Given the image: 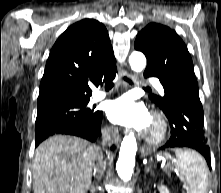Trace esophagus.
<instances>
[{"instance_id":"obj_1","label":"esophagus","mask_w":221,"mask_h":193,"mask_svg":"<svg viewBox=\"0 0 221 193\" xmlns=\"http://www.w3.org/2000/svg\"><path fill=\"white\" fill-rule=\"evenodd\" d=\"M121 77H123V78H124V77H127V78L131 79V78H132V75H131L129 72L124 71V72L122 73Z\"/></svg>"}]
</instances>
